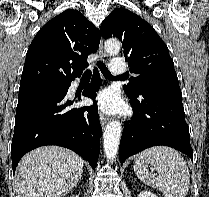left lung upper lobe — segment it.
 Wrapping results in <instances>:
<instances>
[{"label":"left lung upper lobe","instance_id":"1","mask_svg":"<svg viewBox=\"0 0 209 197\" xmlns=\"http://www.w3.org/2000/svg\"><path fill=\"white\" fill-rule=\"evenodd\" d=\"M101 34L107 39L117 37L123 44L128 67L137 77H131L124 91L137 95L141 90L180 89L174 63L168 48L154 28L125 8L114 9L101 24Z\"/></svg>","mask_w":209,"mask_h":197}]
</instances>
